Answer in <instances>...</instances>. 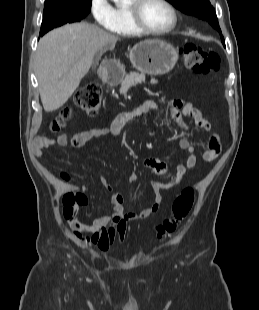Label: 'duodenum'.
<instances>
[{"instance_id": "duodenum-1", "label": "duodenum", "mask_w": 259, "mask_h": 310, "mask_svg": "<svg viewBox=\"0 0 259 310\" xmlns=\"http://www.w3.org/2000/svg\"><path fill=\"white\" fill-rule=\"evenodd\" d=\"M99 77L107 84H115L121 79V72L115 65H105L101 67Z\"/></svg>"}]
</instances>
